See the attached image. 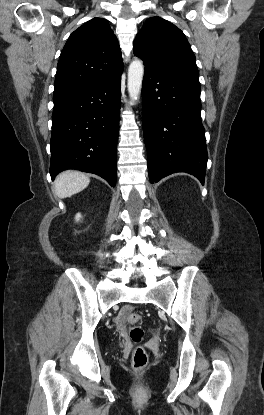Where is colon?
I'll use <instances>...</instances> for the list:
<instances>
[{
    "label": "colon",
    "mask_w": 264,
    "mask_h": 415,
    "mask_svg": "<svg viewBox=\"0 0 264 415\" xmlns=\"http://www.w3.org/2000/svg\"><path fill=\"white\" fill-rule=\"evenodd\" d=\"M127 320L131 325H133V328L131 329V332H130L132 340L135 343L141 342L144 337L143 330L138 326V324L142 320L141 313L137 311H131L127 316ZM148 359H149L148 354L143 348L141 347L136 348L132 356L133 368L138 372L144 370V368L148 364Z\"/></svg>",
    "instance_id": "5ec220e1"
}]
</instances>
